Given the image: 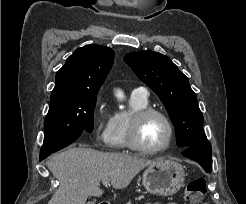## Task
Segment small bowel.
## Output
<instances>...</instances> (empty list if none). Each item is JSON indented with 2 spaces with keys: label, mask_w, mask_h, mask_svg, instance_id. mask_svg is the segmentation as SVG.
<instances>
[{
  "label": "small bowel",
  "mask_w": 246,
  "mask_h": 204,
  "mask_svg": "<svg viewBox=\"0 0 246 204\" xmlns=\"http://www.w3.org/2000/svg\"><path fill=\"white\" fill-rule=\"evenodd\" d=\"M146 204H159V203H146ZM168 204H176V203H168Z\"/></svg>",
  "instance_id": "obj_1"
}]
</instances>
